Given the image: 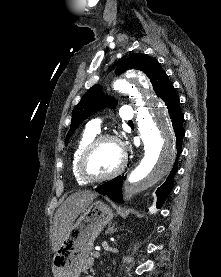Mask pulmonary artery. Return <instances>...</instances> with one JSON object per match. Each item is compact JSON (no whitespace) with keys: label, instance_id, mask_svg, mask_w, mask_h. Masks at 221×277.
<instances>
[{"label":"pulmonary artery","instance_id":"pulmonary-artery-1","mask_svg":"<svg viewBox=\"0 0 221 277\" xmlns=\"http://www.w3.org/2000/svg\"><path fill=\"white\" fill-rule=\"evenodd\" d=\"M120 117L122 120L125 121H132L134 117V112L132 108L128 105H124L120 108ZM100 126H101V120L100 119H93L87 124V129L98 133L100 131Z\"/></svg>","mask_w":221,"mask_h":277}]
</instances>
